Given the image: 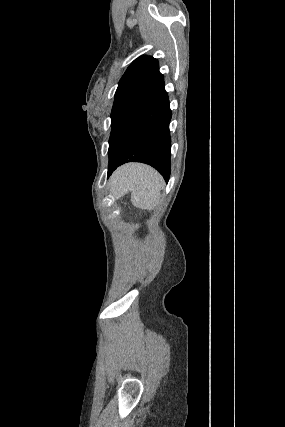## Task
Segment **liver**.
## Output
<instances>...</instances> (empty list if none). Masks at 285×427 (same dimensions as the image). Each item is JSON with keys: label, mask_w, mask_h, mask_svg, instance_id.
I'll return each mask as SVG.
<instances>
[{"label": "liver", "mask_w": 285, "mask_h": 427, "mask_svg": "<svg viewBox=\"0 0 285 427\" xmlns=\"http://www.w3.org/2000/svg\"><path fill=\"white\" fill-rule=\"evenodd\" d=\"M124 168H125V167H122V168H120L118 171H121V170H123ZM118 171H117V172H118Z\"/></svg>", "instance_id": "liver-1"}]
</instances>
